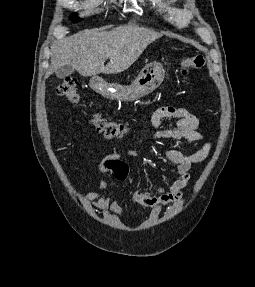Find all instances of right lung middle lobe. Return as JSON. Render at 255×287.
Returning <instances> with one entry per match:
<instances>
[{"label":"right lung middle lobe","mask_w":255,"mask_h":287,"mask_svg":"<svg viewBox=\"0 0 255 287\" xmlns=\"http://www.w3.org/2000/svg\"><path fill=\"white\" fill-rule=\"evenodd\" d=\"M71 20H72V21H80L81 19L78 18V17H72Z\"/></svg>","instance_id":"right-lung-middle-lobe-1"}]
</instances>
